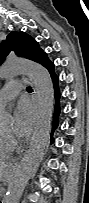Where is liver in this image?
I'll list each match as a JSON object with an SVG mask.
<instances>
[{"instance_id":"6515ba94","label":"liver","mask_w":89,"mask_h":203,"mask_svg":"<svg viewBox=\"0 0 89 203\" xmlns=\"http://www.w3.org/2000/svg\"><path fill=\"white\" fill-rule=\"evenodd\" d=\"M9 167H10V164L5 163V162H1V164H0V177H1V180H3L4 177H6L8 175Z\"/></svg>"}]
</instances>
